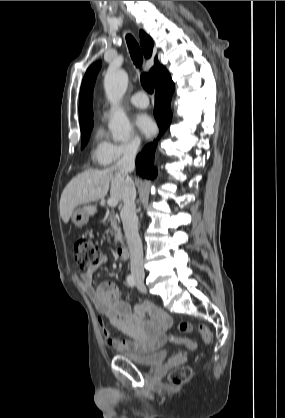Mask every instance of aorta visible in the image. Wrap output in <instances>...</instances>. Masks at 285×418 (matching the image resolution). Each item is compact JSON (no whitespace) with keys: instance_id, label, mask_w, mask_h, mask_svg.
I'll list each match as a JSON object with an SVG mask.
<instances>
[{"instance_id":"1","label":"aorta","mask_w":285,"mask_h":418,"mask_svg":"<svg viewBox=\"0 0 285 418\" xmlns=\"http://www.w3.org/2000/svg\"><path fill=\"white\" fill-rule=\"evenodd\" d=\"M127 86L128 75L125 70L112 68L107 71L104 78V89L108 99L114 106L113 115L108 124L114 141H127L131 132V125L127 115L117 106L124 96Z\"/></svg>"}]
</instances>
